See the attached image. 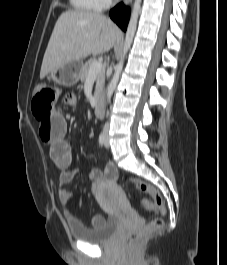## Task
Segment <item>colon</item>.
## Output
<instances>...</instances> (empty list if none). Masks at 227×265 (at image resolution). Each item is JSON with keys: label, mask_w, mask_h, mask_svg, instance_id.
I'll list each match as a JSON object with an SVG mask.
<instances>
[{"label": "colon", "mask_w": 227, "mask_h": 265, "mask_svg": "<svg viewBox=\"0 0 227 265\" xmlns=\"http://www.w3.org/2000/svg\"><path fill=\"white\" fill-rule=\"evenodd\" d=\"M57 98V91L55 88L39 82L34 87V96L32 101V109L34 115L41 124V120H46V116H51L53 104ZM131 182L141 192L147 193L152 197V201L148 199L142 200V207L148 211H157L161 214L165 213V203L158 192V190L152 185L138 179L132 178ZM163 226L162 218H154L149 221L140 231L129 234L125 238V244L127 246L133 245L143 235L151 234Z\"/></svg>", "instance_id": "colon-1"}]
</instances>
